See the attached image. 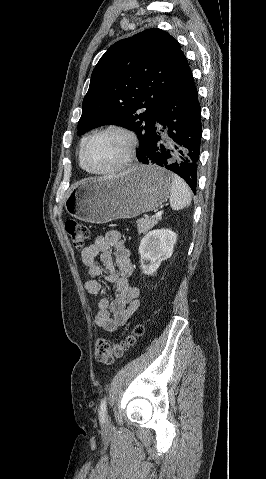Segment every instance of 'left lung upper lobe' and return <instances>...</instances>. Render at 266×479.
<instances>
[{
  "instance_id": "1",
  "label": "left lung upper lobe",
  "mask_w": 266,
  "mask_h": 479,
  "mask_svg": "<svg viewBox=\"0 0 266 479\" xmlns=\"http://www.w3.org/2000/svg\"><path fill=\"white\" fill-rule=\"evenodd\" d=\"M189 70L178 41L158 28L116 42L92 72L78 135L106 124L132 129L140 161L162 104Z\"/></svg>"
}]
</instances>
